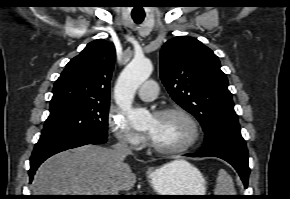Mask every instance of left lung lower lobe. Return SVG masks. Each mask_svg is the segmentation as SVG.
<instances>
[{"instance_id":"obj_1","label":"left lung lower lobe","mask_w":290,"mask_h":199,"mask_svg":"<svg viewBox=\"0 0 290 199\" xmlns=\"http://www.w3.org/2000/svg\"><path fill=\"white\" fill-rule=\"evenodd\" d=\"M191 157L213 156L230 163L240 175L245 188L248 185L249 166L246 143L241 135H222L215 141L205 144L197 155L188 154Z\"/></svg>"}]
</instances>
